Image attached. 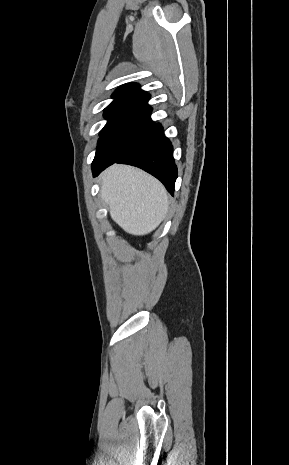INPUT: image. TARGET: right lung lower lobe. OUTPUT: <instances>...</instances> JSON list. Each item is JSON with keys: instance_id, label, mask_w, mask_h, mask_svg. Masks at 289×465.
<instances>
[{"instance_id": "98d812e1", "label": "right lung lower lobe", "mask_w": 289, "mask_h": 465, "mask_svg": "<svg viewBox=\"0 0 289 465\" xmlns=\"http://www.w3.org/2000/svg\"><path fill=\"white\" fill-rule=\"evenodd\" d=\"M113 163H124L139 167L159 179L173 195L177 178V167L173 158V147L163 134L160 123L149 131L127 152L114 161L93 162V175L97 176Z\"/></svg>"}]
</instances>
